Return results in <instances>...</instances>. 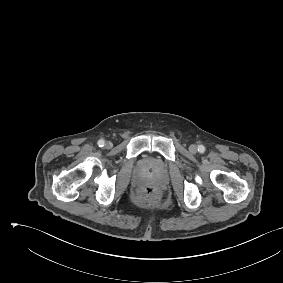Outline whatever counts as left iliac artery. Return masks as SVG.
I'll list each match as a JSON object with an SVG mask.
<instances>
[{
    "instance_id": "1",
    "label": "left iliac artery",
    "mask_w": 283,
    "mask_h": 283,
    "mask_svg": "<svg viewBox=\"0 0 283 283\" xmlns=\"http://www.w3.org/2000/svg\"><path fill=\"white\" fill-rule=\"evenodd\" d=\"M198 151H199L200 153L205 152V147H204L203 145H199V146H198Z\"/></svg>"
}]
</instances>
